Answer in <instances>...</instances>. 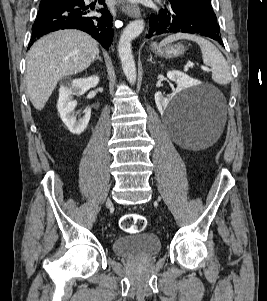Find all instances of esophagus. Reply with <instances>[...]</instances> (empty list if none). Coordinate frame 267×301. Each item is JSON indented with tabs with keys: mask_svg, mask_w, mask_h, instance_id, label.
<instances>
[{
	"mask_svg": "<svg viewBox=\"0 0 267 301\" xmlns=\"http://www.w3.org/2000/svg\"><path fill=\"white\" fill-rule=\"evenodd\" d=\"M123 10L128 16L132 18H138L141 16L140 9L137 5L125 3Z\"/></svg>",
	"mask_w": 267,
	"mask_h": 301,
	"instance_id": "esophagus-1",
	"label": "esophagus"
}]
</instances>
